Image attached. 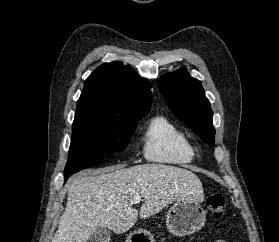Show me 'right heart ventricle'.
Here are the masks:
<instances>
[{
	"label": "right heart ventricle",
	"mask_w": 279,
	"mask_h": 242,
	"mask_svg": "<svg viewBox=\"0 0 279 242\" xmlns=\"http://www.w3.org/2000/svg\"><path fill=\"white\" fill-rule=\"evenodd\" d=\"M142 147L144 157L150 162L181 166L195 158L185 133L162 115L149 120L142 135Z\"/></svg>",
	"instance_id": "right-heart-ventricle-1"
}]
</instances>
